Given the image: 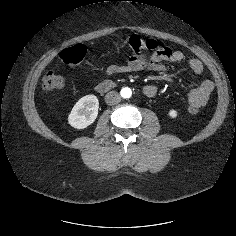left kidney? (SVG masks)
I'll use <instances>...</instances> for the list:
<instances>
[{"label":"left kidney","mask_w":236,"mask_h":236,"mask_svg":"<svg viewBox=\"0 0 236 236\" xmlns=\"http://www.w3.org/2000/svg\"><path fill=\"white\" fill-rule=\"evenodd\" d=\"M168 115L171 118H176L177 115H178V112L176 110H174V109H171V110H169Z\"/></svg>","instance_id":"left-kidney-1"}]
</instances>
